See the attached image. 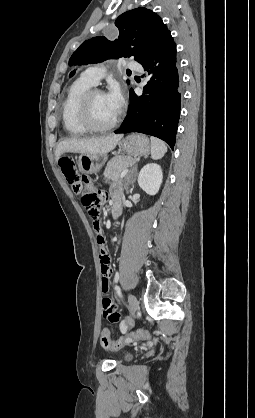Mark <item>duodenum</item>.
<instances>
[{
    "label": "duodenum",
    "mask_w": 255,
    "mask_h": 418,
    "mask_svg": "<svg viewBox=\"0 0 255 418\" xmlns=\"http://www.w3.org/2000/svg\"><path fill=\"white\" fill-rule=\"evenodd\" d=\"M119 213H120V211H119L118 209H114V210H113V214H114V216H117Z\"/></svg>",
    "instance_id": "1"
}]
</instances>
